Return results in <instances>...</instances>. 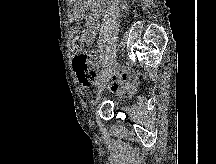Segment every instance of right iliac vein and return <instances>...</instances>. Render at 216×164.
<instances>
[{
    "label": "right iliac vein",
    "instance_id": "1",
    "mask_svg": "<svg viewBox=\"0 0 216 164\" xmlns=\"http://www.w3.org/2000/svg\"><path fill=\"white\" fill-rule=\"evenodd\" d=\"M120 69V67L118 66V64L116 63V61H114L113 63V67L108 70V72L106 73V77H104V80L101 81V84H100V87H99V90H98V93H97V96H96V99L94 100V105H96L100 98H101V94L102 92L104 91V89L106 88L109 80L113 77V75Z\"/></svg>",
    "mask_w": 216,
    "mask_h": 164
}]
</instances>
